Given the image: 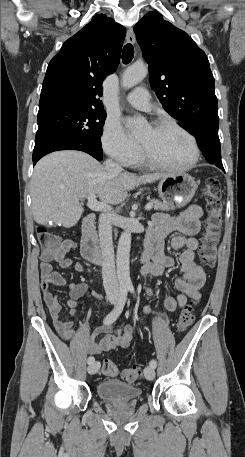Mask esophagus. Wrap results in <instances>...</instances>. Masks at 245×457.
<instances>
[{
  "label": "esophagus",
  "instance_id": "34e87169",
  "mask_svg": "<svg viewBox=\"0 0 245 457\" xmlns=\"http://www.w3.org/2000/svg\"><path fill=\"white\" fill-rule=\"evenodd\" d=\"M126 39H127V42H128V43L134 44V42H135V35H134V32H133V29H132V28H129V29L127 30Z\"/></svg>",
  "mask_w": 245,
  "mask_h": 457
}]
</instances>
